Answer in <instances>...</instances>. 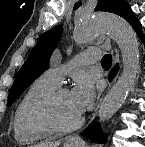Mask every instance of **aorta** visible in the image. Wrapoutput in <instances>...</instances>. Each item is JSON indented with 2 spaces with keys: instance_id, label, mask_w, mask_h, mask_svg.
Returning <instances> with one entry per match:
<instances>
[{
  "instance_id": "762f6f07",
  "label": "aorta",
  "mask_w": 145,
  "mask_h": 147,
  "mask_svg": "<svg viewBox=\"0 0 145 147\" xmlns=\"http://www.w3.org/2000/svg\"><path fill=\"white\" fill-rule=\"evenodd\" d=\"M100 32H107L115 40L123 59L122 75L103 99L98 111V121L103 123L121 107L136 81L139 43L128 22L113 14H100L82 21L76 26L74 36L79 43H86Z\"/></svg>"
}]
</instances>
